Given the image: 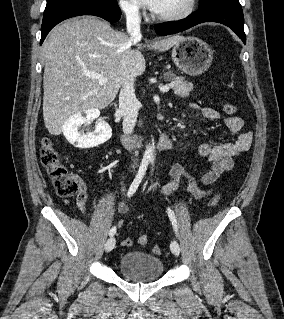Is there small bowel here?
Instances as JSON below:
<instances>
[{"label": "small bowel", "instance_id": "1", "mask_svg": "<svg viewBox=\"0 0 284 319\" xmlns=\"http://www.w3.org/2000/svg\"><path fill=\"white\" fill-rule=\"evenodd\" d=\"M191 107L199 109L202 115L209 120L222 119L228 131L235 137V140L230 143H202L199 145V154L206 157L210 164V169L204 172L200 177L192 175L182 164H175L170 170L171 182L164 186L159 192V194L164 197L169 196L175 191L182 177L188 180V192L193 198L202 199L208 196L212 190H203L201 185H211L215 183L222 174L231 170L234 158L248 151L252 143V133L250 131H243V120L240 117H221L220 113L213 108H200L195 104L191 105ZM86 201L87 191L85 186H82L76 198V204L81 213L86 212ZM118 210L121 214L127 212L128 208L124 200L119 202ZM121 225L122 220L118 222V228L121 227Z\"/></svg>", "mask_w": 284, "mask_h": 319}]
</instances>
